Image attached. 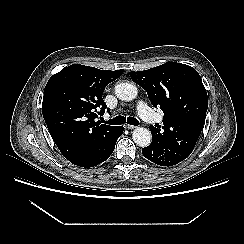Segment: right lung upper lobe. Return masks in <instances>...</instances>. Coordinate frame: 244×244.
Returning a JSON list of instances; mask_svg holds the SVG:
<instances>
[{
	"label": "right lung upper lobe",
	"mask_w": 244,
	"mask_h": 244,
	"mask_svg": "<svg viewBox=\"0 0 244 244\" xmlns=\"http://www.w3.org/2000/svg\"><path fill=\"white\" fill-rule=\"evenodd\" d=\"M123 70L73 64L54 74L44 89L42 113L60 152L69 161L99 153L118 126L95 122L107 108L102 94Z\"/></svg>",
	"instance_id": "obj_1"
}]
</instances>
